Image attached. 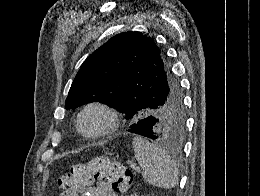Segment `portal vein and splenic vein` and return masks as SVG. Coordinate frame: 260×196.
<instances>
[{"instance_id": "1", "label": "portal vein and splenic vein", "mask_w": 260, "mask_h": 196, "mask_svg": "<svg viewBox=\"0 0 260 196\" xmlns=\"http://www.w3.org/2000/svg\"><path fill=\"white\" fill-rule=\"evenodd\" d=\"M130 168H133V170H135V172H141L139 166H135V164H130Z\"/></svg>"}]
</instances>
